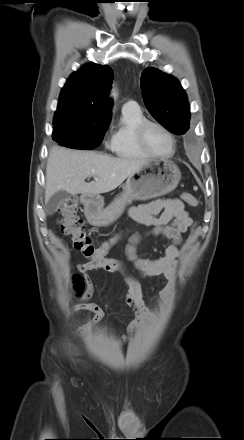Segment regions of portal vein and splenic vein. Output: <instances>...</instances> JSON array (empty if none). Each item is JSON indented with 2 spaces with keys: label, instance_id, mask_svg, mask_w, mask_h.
Returning a JSON list of instances; mask_svg holds the SVG:
<instances>
[{
  "label": "portal vein and splenic vein",
  "instance_id": "obj_1",
  "mask_svg": "<svg viewBox=\"0 0 244 440\" xmlns=\"http://www.w3.org/2000/svg\"><path fill=\"white\" fill-rule=\"evenodd\" d=\"M96 181H98V178H94Z\"/></svg>",
  "mask_w": 244,
  "mask_h": 440
}]
</instances>
